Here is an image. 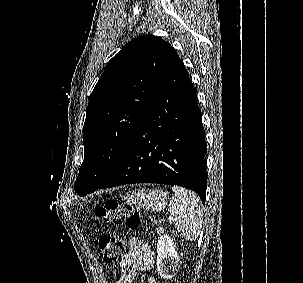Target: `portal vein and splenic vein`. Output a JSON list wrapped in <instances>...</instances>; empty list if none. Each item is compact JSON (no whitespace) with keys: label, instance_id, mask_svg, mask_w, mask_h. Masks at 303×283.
Masks as SVG:
<instances>
[{"label":"portal vein and splenic vein","instance_id":"portal-vein-and-splenic-vein-1","mask_svg":"<svg viewBox=\"0 0 303 283\" xmlns=\"http://www.w3.org/2000/svg\"><path fill=\"white\" fill-rule=\"evenodd\" d=\"M173 221H174V219H173V218H170L169 222L171 223V222H173Z\"/></svg>","mask_w":303,"mask_h":283}]
</instances>
